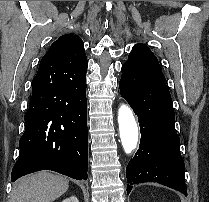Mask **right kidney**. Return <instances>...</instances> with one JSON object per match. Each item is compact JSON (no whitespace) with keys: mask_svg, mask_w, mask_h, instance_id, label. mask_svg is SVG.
I'll return each instance as SVG.
<instances>
[{"mask_svg":"<svg viewBox=\"0 0 209 202\" xmlns=\"http://www.w3.org/2000/svg\"><path fill=\"white\" fill-rule=\"evenodd\" d=\"M62 202H79V200L77 199V197L71 196V197L64 199Z\"/></svg>","mask_w":209,"mask_h":202,"instance_id":"1","label":"right kidney"}]
</instances>
